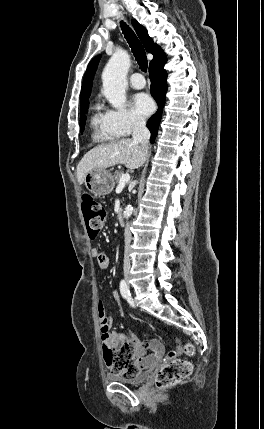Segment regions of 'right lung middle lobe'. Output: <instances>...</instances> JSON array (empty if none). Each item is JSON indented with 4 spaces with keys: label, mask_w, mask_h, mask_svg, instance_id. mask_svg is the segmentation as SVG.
I'll return each instance as SVG.
<instances>
[{
    "label": "right lung middle lobe",
    "mask_w": 264,
    "mask_h": 429,
    "mask_svg": "<svg viewBox=\"0 0 264 429\" xmlns=\"http://www.w3.org/2000/svg\"><path fill=\"white\" fill-rule=\"evenodd\" d=\"M88 107H89V104L81 106V110H80L81 111V116H80V129H81V132H83V130H84L85 120H86L85 113L88 112Z\"/></svg>",
    "instance_id": "1"
}]
</instances>
